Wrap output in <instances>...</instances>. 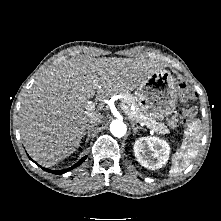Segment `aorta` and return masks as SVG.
Returning <instances> with one entry per match:
<instances>
[{
	"instance_id": "762f6f07",
	"label": "aorta",
	"mask_w": 221,
	"mask_h": 221,
	"mask_svg": "<svg viewBox=\"0 0 221 221\" xmlns=\"http://www.w3.org/2000/svg\"><path fill=\"white\" fill-rule=\"evenodd\" d=\"M110 131L115 137H123L126 134V124L121 120H113L110 124Z\"/></svg>"
}]
</instances>
